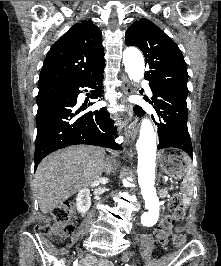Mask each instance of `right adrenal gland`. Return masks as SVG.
<instances>
[{
	"label": "right adrenal gland",
	"mask_w": 221,
	"mask_h": 266,
	"mask_svg": "<svg viewBox=\"0 0 221 266\" xmlns=\"http://www.w3.org/2000/svg\"><path fill=\"white\" fill-rule=\"evenodd\" d=\"M110 172H111V171H109V170H106V173H107V174H110Z\"/></svg>",
	"instance_id": "obj_1"
}]
</instances>
